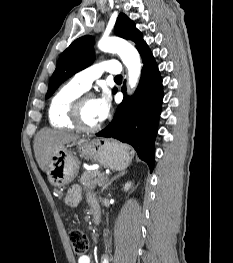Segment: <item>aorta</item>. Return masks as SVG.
<instances>
[{"label":"aorta","mask_w":233,"mask_h":263,"mask_svg":"<svg viewBox=\"0 0 233 263\" xmlns=\"http://www.w3.org/2000/svg\"><path fill=\"white\" fill-rule=\"evenodd\" d=\"M98 48L104 52L117 53L128 69V82L131 88L138 83L141 74V61L138 51L127 41L118 37L102 38Z\"/></svg>","instance_id":"1"}]
</instances>
